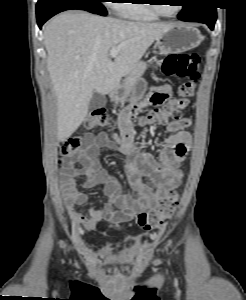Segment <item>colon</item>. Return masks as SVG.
Segmentation results:
<instances>
[{
    "label": "colon",
    "mask_w": 246,
    "mask_h": 300,
    "mask_svg": "<svg viewBox=\"0 0 246 300\" xmlns=\"http://www.w3.org/2000/svg\"><path fill=\"white\" fill-rule=\"evenodd\" d=\"M162 73L167 77H177L186 79L178 87L179 98L167 102L163 94H155L153 101L156 106L147 114L139 118V125L144 126L152 123L165 122L169 118L178 120L181 118L180 104L181 98L191 96L196 84L200 79V59L194 53H181L170 55L162 62ZM110 124L108 114L104 108H96L91 111L85 121V126L89 129L106 127ZM81 144L79 137H71L64 141L58 149L61 157L69 156L77 150ZM178 204V194L174 189H170L161 199L159 205L149 211L137 215L135 222L143 230H150L162 226L174 213Z\"/></svg>",
    "instance_id": "obj_1"
}]
</instances>
